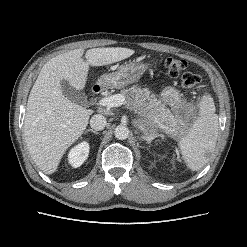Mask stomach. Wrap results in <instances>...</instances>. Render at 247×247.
I'll list each match as a JSON object with an SVG mask.
<instances>
[{
    "label": "stomach",
    "mask_w": 247,
    "mask_h": 247,
    "mask_svg": "<svg viewBox=\"0 0 247 247\" xmlns=\"http://www.w3.org/2000/svg\"><path fill=\"white\" fill-rule=\"evenodd\" d=\"M146 69L147 66L145 64L130 60L120 65L115 72L103 74L98 79V84L103 88H123L124 86L139 80ZM161 98L173 109L181 103L180 92L171 86L163 89ZM146 113L142 114L141 116H143V118L139 119L138 121V127L145 137L149 136L152 132L155 131L154 127H156L158 123L155 119H150ZM161 124L168 133L178 137L184 135L190 126L188 121H183L181 117L177 115L175 117L173 116V121L171 123Z\"/></svg>",
    "instance_id": "0dacf381"
}]
</instances>
